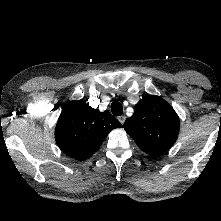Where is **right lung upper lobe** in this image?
I'll list each match as a JSON object with an SVG mask.
<instances>
[{"label": "right lung upper lobe", "instance_id": "cb5924a9", "mask_svg": "<svg viewBox=\"0 0 221 221\" xmlns=\"http://www.w3.org/2000/svg\"><path fill=\"white\" fill-rule=\"evenodd\" d=\"M121 123L108 111L93 109L85 101H71L59 117L55 140L68 156L86 160L100 148L109 132Z\"/></svg>", "mask_w": 221, "mask_h": 221}]
</instances>
